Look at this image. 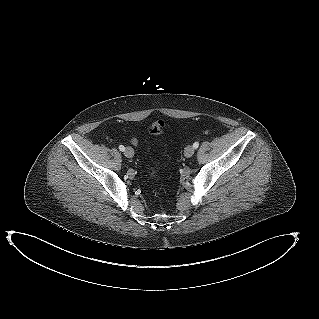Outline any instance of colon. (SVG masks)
I'll list each match as a JSON object with an SVG mask.
<instances>
[{"label": "colon", "instance_id": "colon-1", "mask_svg": "<svg viewBox=\"0 0 319 319\" xmlns=\"http://www.w3.org/2000/svg\"><path fill=\"white\" fill-rule=\"evenodd\" d=\"M164 126H165L164 121H162V120H157V121L153 122V123L149 126L148 130H149V132H150L151 134H160V133L162 132ZM149 175H150L153 179L157 180L159 174H158V172H157L155 169H150V170H149Z\"/></svg>", "mask_w": 319, "mask_h": 319}]
</instances>
